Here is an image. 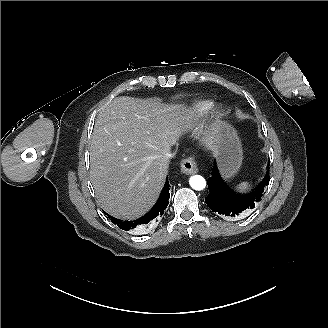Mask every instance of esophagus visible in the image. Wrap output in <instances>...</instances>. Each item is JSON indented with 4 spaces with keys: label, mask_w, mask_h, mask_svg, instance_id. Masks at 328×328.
I'll use <instances>...</instances> for the list:
<instances>
[{
    "label": "esophagus",
    "mask_w": 328,
    "mask_h": 328,
    "mask_svg": "<svg viewBox=\"0 0 328 328\" xmlns=\"http://www.w3.org/2000/svg\"><path fill=\"white\" fill-rule=\"evenodd\" d=\"M180 167L182 173L186 175H192L198 172V167L193 157L183 159L180 163Z\"/></svg>",
    "instance_id": "esophagus-1"
}]
</instances>
